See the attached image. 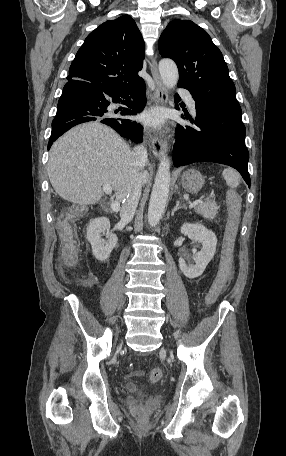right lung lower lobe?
Segmentation results:
<instances>
[{
	"label": "right lung lower lobe",
	"mask_w": 286,
	"mask_h": 456,
	"mask_svg": "<svg viewBox=\"0 0 286 456\" xmlns=\"http://www.w3.org/2000/svg\"><path fill=\"white\" fill-rule=\"evenodd\" d=\"M145 92L143 80L129 88L115 91L101 90L87 82L68 80L58 101L48 150L57 138L73 126L95 120L112 127L122 137L140 143L143 136L142 126L120 115H135L140 112L146 104ZM131 98L133 101H130ZM119 103L125 104L127 108L116 115L118 111H112L109 107Z\"/></svg>",
	"instance_id": "obj_1"
}]
</instances>
